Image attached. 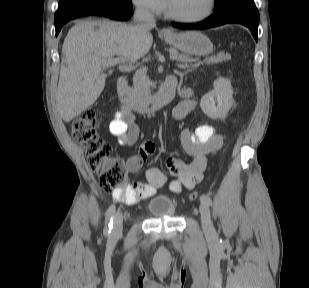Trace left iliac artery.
Instances as JSON below:
<instances>
[{"label":"left iliac artery","mask_w":309,"mask_h":288,"mask_svg":"<svg viewBox=\"0 0 309 288\" xmlns=\"http://www.w3.org/2000/svg\"><path fill=\"white\" fill-rule=\"evenodd\" d=\"M201 202H205L207 205H211L212 204V200L208 195H202L200 198Z\"/></svg>","instance_id":"left-iliac-artery-1"}]
</instances>
